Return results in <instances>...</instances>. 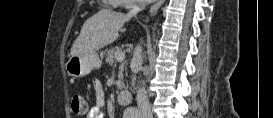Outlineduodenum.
<instances>
[{
	"label": "duodenum",
	"mask_w": 273,
	"mask_h": 118,
	"mask_svg": "<svg viewBox=\"0 0 273 118\" xmlns=\"http://www.w3.org/2000/svg\"><path fill=\"white\" fill-rule=\"evenodd\" d=\"M133 95L128 90H120L117 95L118 102L120 104H130L132 101Z\"/></svg>",
	"instance_id": "410a0bca"
}]
</instances>
